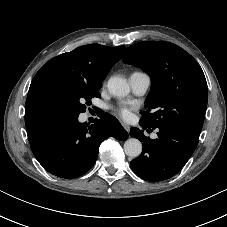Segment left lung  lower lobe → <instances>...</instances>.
Listing matches in <instances>:
<instances>
[{"mask_svg": "<svg viewBox=\"0 0 227 227\" xmlns=\"http://www.w3.org/2000/svg\"><path fill=\"white\" fill-rule=\"evenodd\" d=\"M143 129L148 126L140 121ZM158 138L150 139L138 128L130 135L143 143L142 153L130 166L142 179L157 182L176 175L187 163L198 144V136L172 126L158 127Z\"/></svg>", "mask_w": 227, "mask_h": 227, "instance_id": "obj_1", "label": "left lung lower lobe"}]
</instances>
